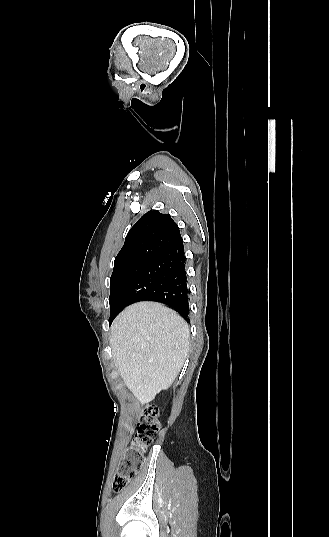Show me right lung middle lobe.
Masks as SVG:
<instances>
[{"label": "right lung middle lobe", "instance_id": "right-lung-middle-lobe-1", "mask_svg": "<svg viewBox=\"0 0 329 537\" xmlns=\"http://www.w3.org/2000/svg\"><path fill=\"white\" fill-rule=\"evenodd\" d=\"M150 262L145 260L133 261L113 270L110 278L109 303L111 315L109 321L119 312L124 293Z\"/></svg>", "mask_w": 329, "mask_h": 537}]
</instances>
